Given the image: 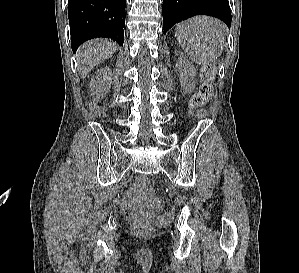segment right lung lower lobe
Instances as JSON below:
<instances>
[{
  "instance_id": "obj_1",
  "label": "right lung lower lobe",
  "mask_w": 299,
  "mask_h": 273,
  "mask_svg": "<svg viewBox=\"0 0 299 273\" xmlns=\"http://www.w3.org/2000/svg\"><path fill=\"white\" fill-rule=\"evenodd\" d=\"M126 0H69L68 18L72 50L85 41L105 37L124 42Z\"/></svg>"
}]
</instances>
